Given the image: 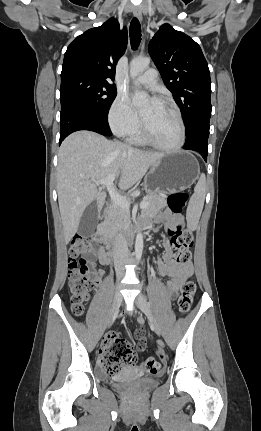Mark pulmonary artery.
Masks as SVG:
<instances>
[{"label":"pulmonary artery","instance_id":"1","mask_svg":"<svg viewBox=\"0 0 261 431\" xmlns=\"http://www.w3.org/2000/svg\"><path fill=\"white\" fill-rule=\"evenodd\" d=\"M158 80V72L156 69L150 68L142 75L136 77L135 82L143 86H152Z\"/></svg>","mask_w":261,"mask_h":431}]
</instances>
